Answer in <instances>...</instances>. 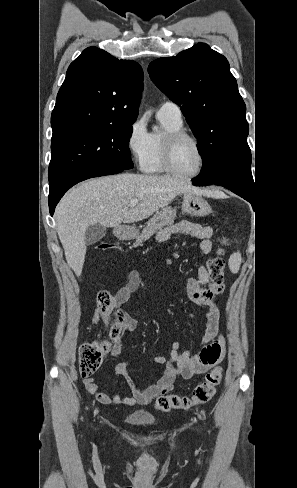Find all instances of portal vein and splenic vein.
<instances>
[{
  "mask_svg": "<svg viewBox=\"0 0 297 488\" xmlns=\"http://www.w3.org/2000/svg\"><path fill=\"white\" fill-rule=\"evenodd\" d=\"M137 204H138V199H136V198H135V199L130 200V202H129V206H130V207H134V206H136Z\"/></svg>",
  "mask_w": 297,
  "mask_h": 488,
  "instance_id": "1",
  "label": "portal vein and splenic vein"
}]
</instances>
